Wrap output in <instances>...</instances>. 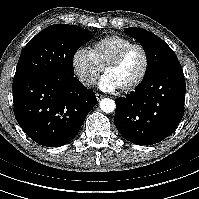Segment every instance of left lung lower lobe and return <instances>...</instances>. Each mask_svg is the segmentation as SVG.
<instances>
[{
    "instance_id": "left-lung-lower-lobe-1",
    "label": "left lung lower lobe",
    "mask_w": 199,
    "mask_h": 199,
    "mask_svg": "<svg viewBox=\"0 0 199 199\" xmlns=\"http://www.w3.org/2000/svg\"><path fill=\"white\" fill-rule=\"evenodd\" d=\"M185 90L179 61L142 80L135 91L116 100L114 122L119 133L138 145L162 141L184 115Z\"/></svg>"
}]
</instances>
